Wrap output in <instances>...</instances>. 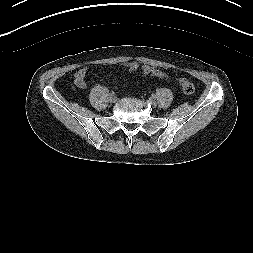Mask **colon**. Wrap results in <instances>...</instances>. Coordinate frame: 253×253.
Listing matches in <instances>:
<instances>
[{
  "instance_id": "1",
  "label": "colon",
  "mask_w": 253,
  "mask_h": 253,
  "mask_svg": "<svg viewBox=\"0 0 253 253\" xmlns=\"http://www.w3.org/2000/svg\"><path fill=\"white\" fill-rule=\"evenodd\" d=\"M179 85L181 86L183 92L187 95H191L195 91L194 84L186 78L181 77L179 79Z\"/></svg>"
}]
</instances>
